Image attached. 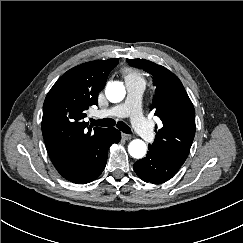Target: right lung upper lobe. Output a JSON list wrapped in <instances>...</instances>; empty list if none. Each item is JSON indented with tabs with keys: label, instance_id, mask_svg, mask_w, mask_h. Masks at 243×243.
<instances>
[{
	"label": "right lung upper lobe",
	"instance_id": "1",
	"mask_svg": "<svg viewBox=\"0 0 243 243\" xmlns=\"http://www.w3.org/2000/svg\"><path fill=\"white\" fill-rule=\"evenodd\" d=\"M118 59L95 60L64 73L43 104L42 134L50 158L81 157L98 144L107 128L87 127L81 120L98 104L109 72Z\"/></svg>",
	"mask_w": 243,
	"mask_h": 243
}]
</instances>
